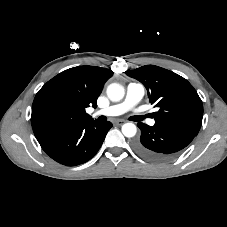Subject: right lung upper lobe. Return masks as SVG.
Masks as SVG:
<instances>
[{
    "instance_id": "1",
    "label": "right lung upper lobe",
    "mask_w": 227,
    "mask_h": 227,
    "mask_svg": "<svg viewBox=\"0 0 227 227\" xmlns=\"http://www.w3.org/2000/svg\"><path fill=\"white\" fill-rule=\"evenodd\" d=\"M111 70L95 66L67 69L48 81L36 94L31 124L38 142L70 126L94 121L85 109L97 107V98Z\"/></svg>"
}]
</instances>
